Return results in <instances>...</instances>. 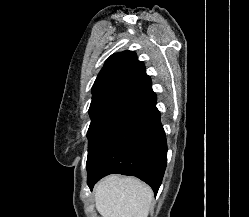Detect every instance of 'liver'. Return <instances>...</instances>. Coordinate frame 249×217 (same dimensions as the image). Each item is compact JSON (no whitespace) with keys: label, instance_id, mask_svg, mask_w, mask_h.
Returning a JSON list of instances; mask_svg holds the SVG:
<instances>
[{"label":"liver","instance_id":"1","mask_svg":"<svg viewBox=\"0 0 249 217\" xmlns=\"http://www.w3.org/2000/svg\"><path fill=\"white\" fill-rule=\"evenodd\" d=\"M94 191L101 217H147L153 200L151 188L132 177L108 176Z\"/></svg>","mask_w":249,"mask_h":217}]
</instances>
